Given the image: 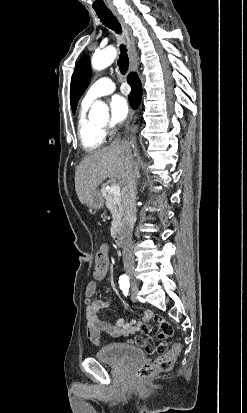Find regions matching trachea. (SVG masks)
I'll return each mask as SVG.
<instances>
[{
	"instance_id": "trachea-1",
	"label": "trachea",
	"mask_w": 247,
	"mask_h": 413,
	"mask_svg": "<svg viewBox=\"0 0 247 413\" xmlns=\"http://www.w3.org/2000/svg\"><path fill=\"white\" fill-rule=\"evenodd\" d=\"M103 25L114 30L116 33L121 34V26L117 18L114 17L112 12L108 11H96ZM118 67L121 73L124 75L128 70L129 60L127 55V49L125 45L120 46V56L118 59Z\"/></svg>"
}]
</instances>
